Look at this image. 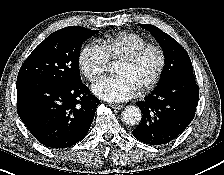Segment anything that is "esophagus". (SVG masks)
<instances>
[{
    "instance_id": "obj_1",
    "label": "esophagus",
    "mask_w": 224,
    "mask_h": 175,
    "mask_svg": "<svg viewBox=\"0 0 224 175\" xmlns=\"http://www.w3.org/2000/svg\"><path fill=\"white\" fill-rule=\"evenodd\" d=\"M109 106L113 109H118V110L123 108L122 104L109 103Z\"/></svg>"
}]
</instances>
